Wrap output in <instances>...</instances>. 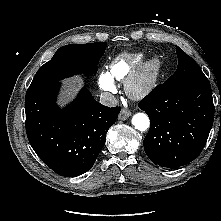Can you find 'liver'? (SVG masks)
Returning a JSON list of instances; mask_svg holds the SVG:
<instances>
[{"label": "liver", "instance_id": "obj_1", "mask_svg": "<svg viewBox=\"0 0 221 221\" xmlns=\"http://www.w3.org/2000/svg\"><path fill=\"white\" fill-rule=\"evenodd\" d=\"M70 85L75 84V83H82V80L80 78H75L71 80Z\"/></svg>", "mask_w": 221, "mask_h": 221}]
</instances>
